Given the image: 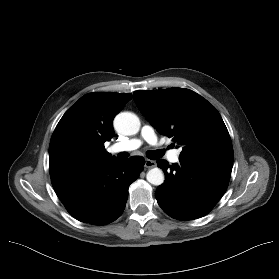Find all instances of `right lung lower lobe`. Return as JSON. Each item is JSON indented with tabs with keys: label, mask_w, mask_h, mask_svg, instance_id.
<instances>
[{
	"label": "right lung lower lobe",
	"mask_w": 279,
	"mask_h": 279,
	"mask_svg": "<svg viewBox=\"0 0 279 279\" xmlns=\"http://www.w3.org/2000/svg\"><path fill=\"white\" fill-rule=\"evenodd\" d=\"M144 164L141 156L127 160L115 158L85 171L53 179L51 183L74 218L104 225L122 214L128 188L139 177Z\"/></svg>",
	"instance_id": "1"
}]
</instances>
